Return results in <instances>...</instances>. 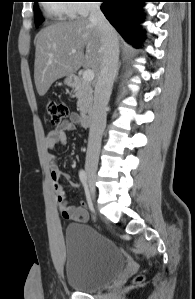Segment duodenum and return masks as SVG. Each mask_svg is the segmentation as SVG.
Listing matches in <instances>:
<instances>
[{
	"label": "duodenum",
	"instance_id": "410a0bca",
	"mask_svg": "<svg viewBox=\"0 0 195 299\" xmlns=\"http://www.w3.org/2000/svg\"><path fill=\"white\" fill-rule=\"evenodd\" d=\"M70 84L72 86H78L80 84V80L77 76L70 77ZM94 113L93 111H88L85 114L79 116V120L84 127H88L93 123Z\"/></svg>",
	"mask_w": 195,
	"mask_h": 299
}]
</instances>
